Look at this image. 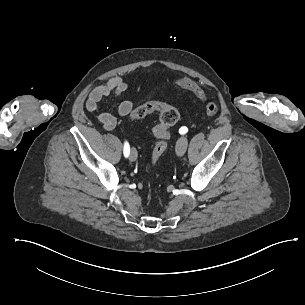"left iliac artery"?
Listing matches in <instances>:
<instances>
[{
    "label": "left iliac artery",
    "instance_id": "obj_1",
    "mask_svg": "<svg viewBox=\"0 0 305 305\" xmlns=\"http://www.w3.org/2000/svg\"><path fill=\"white\" fill-rule=\"evenodd\" d=\"M187 131H188L187 127H181L179 130L180 134H185L187 133Z\"/></svg>",
    "mask_w": 305,
    "mask_h": 305
}]
</instances>
